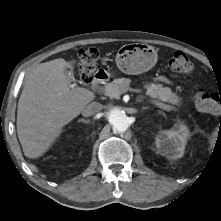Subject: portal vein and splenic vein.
Here are the masks:
<instances>
[{"instance_id": "obj_1", "label": "portal vein and splenic vein", "mask_w": 221, "mask_h": 221, "mask_svg": "<svg viewBox=\"0 0 221 221\" xmlns=\"http://www.w3.org/2000/svg\"><path fill=\"white\" fill-rule=\"evenodd\" d=\"M153 104H155L157 107L164 109V110H170V107L157 101H153Z\"/></svg>"}]
</instances>
